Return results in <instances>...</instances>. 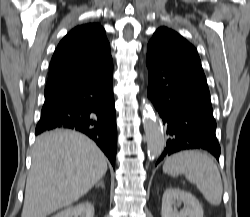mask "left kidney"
<instances>
[{"label": "left kidney", "instance_id": "5707ae66", "mask_svg": "<svg viewBox=\"0 0 250 217\" xmlns=\"http://www.w3.org/2000/svg\"><path fill=\"white\" fill-rule=\"evenodd\" d=\"M182 203L184 208L178 211ZM161 217H203V209L191 193L179 188H168L162 197Z\"/></svg>", "mask_w": 250, "mask_h": 217}]
</instances>
